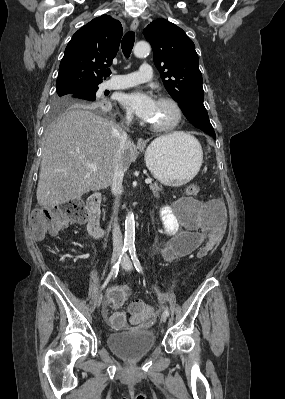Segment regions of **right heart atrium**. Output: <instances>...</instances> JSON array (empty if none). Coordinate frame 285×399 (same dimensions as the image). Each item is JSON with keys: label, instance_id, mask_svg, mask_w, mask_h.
Listing matches in <instances>:
<instances>
[{"label": "right heart atrium", "instance_id": "right-heart-atrium-1", "mask_svg": "<svg viewBox=\"0 0 285 399\" xmlns=\"http://www.w3.org/2000/svg\"><path fill=\"white\" fill-rule=\"evenodd\" d=\"M126 116H127L128 118H130V117H131V114L128 112V113L126 114Z\"/></svg>", "mask_w": 285, "mask_h": 399}]
</instances>
